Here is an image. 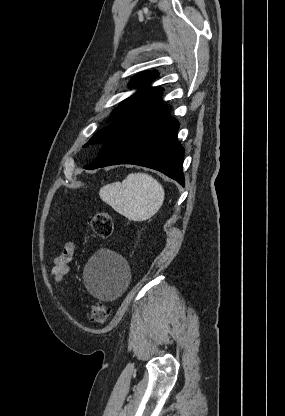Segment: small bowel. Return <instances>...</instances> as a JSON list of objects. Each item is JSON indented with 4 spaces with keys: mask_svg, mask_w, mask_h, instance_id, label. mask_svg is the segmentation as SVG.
<instances>
[{
    "mask_svg": "<svg viewBox=\"0 0 285 416\" xmlns=\"http://www.w3.org/2000/svg\"><path fill=\"white\" fill-rule=\"evenodd\" d=\"M75 246L72 242L67 243L60 254V256L54 259V263L51 269V274L56 283H63L69 273V263L73 258Z\"/></svg>",
    "mask_w": 285,
    "mask_h": 416,
    "instance_id": "1",
    "label": "small bowel"
}]
</instances>
